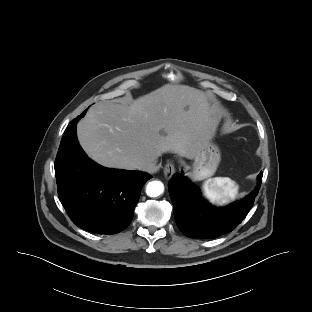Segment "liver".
I'll use <instances>...</instances> for the list:
<instances>
[{"mask_svg":"<svg viewBox=\"0 0 312 312\" xmlns=\"http://www.w3.org/2000/svg\"><path fill=\"white\" fill-rule=\"evenodd\" d=\"M221 117L203 91L167 84L129 106L95 104L78 123L77 136L100 165L136 170L142 161L167 152L193 159L215 136Z\"/></svg>","mask_w":312,"mask_h":312,"instance_id":"obj_1","label":"liver"}]
</instances>
